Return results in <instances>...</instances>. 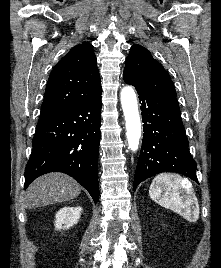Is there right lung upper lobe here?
<instances>
[{
	"mask_svg": "<svg viewBox=\"0 0 221 268\" xmlns=\"http://www.w3.org/2000/svg\"><path fill=\"white\" fill-rule=\"evenodd\" d=\"M101 94V82L93 47H73L53 68L45 89L41 112L88 101Z\"/></svg>",
	"mask_w": 221,
	"mask_h": 268,
	"instance_id": "cb5924a9",
	"label": "right lung upper lobe"
}]
</instances>
